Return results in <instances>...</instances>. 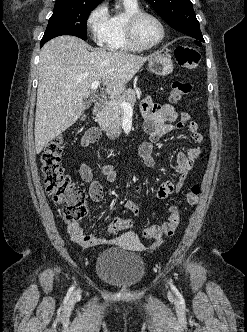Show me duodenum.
Wrapping results in <instances>:
<instances>
[{"label": "duodenum", "mask_w": 247, "mask_h": 332, "mask_svg": "<svg viewBox=\"0 0 247 332\" xmlns=\"http://www.w3.org/2000/svg\"><path fill=\"white\" fill-rule=\"evenodd\" d=\"M94 116L96 120H101L105 114V105L102 103H98L95 105L93 110Z\"/></svg>", "instance_id": "1"}]
</instances>
